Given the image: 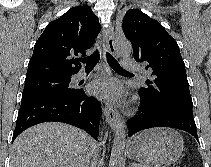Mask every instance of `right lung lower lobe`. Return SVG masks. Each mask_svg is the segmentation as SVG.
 Masks as SVG:
<instances>
[{
    "mask_svg": "<svg viewBox=\"0 0 211 167\" xmlns=\"http://www.w3.org/2000/svg\"><path fill=\"white\" fill-rule=\"evenodd\" d=\"M100 115V103L81 88L66 93L22 96L12 142L25 129L48 121L71 124L97 139Z\"/></svg>",
    "mask_w": 211,
    "mask_h": 167,
    "instance_id": "obj_1",
    "label": "right lung lower lobe"
}]
</instances>
